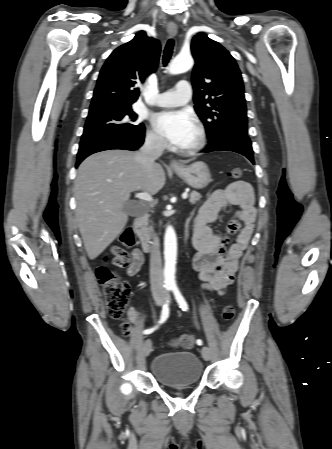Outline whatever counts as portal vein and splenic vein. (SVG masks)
<instances>
[{
  "instance_id": "1",
  "label": "portal vein and splenic vein",
  "mask_w": 332,
  "mask_h": 449,
  "mask_svg": "<svg viewBox=\"0 0 332 449\" xmlns=\"http://www.w3.org/2000/svg\"><path fill=\"white\" fill-rule=\"evenodd\" d=\"M136 197L139 198V199L145 200L147 202H152L153 201L152 196L150 194H148L147 192L138 193V194H136ZM187 197H188L187 193H183L182 194V198L183 199H186Z\"/></svg>"
}]
</instances>
